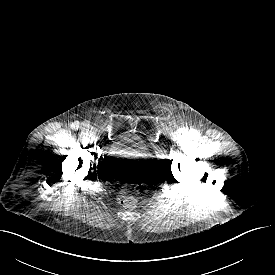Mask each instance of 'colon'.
Segmentation results:
<instances>
[{"mask_svg":"<svg viewBox=\"0 0 275 275\" xmlns=\"http://www.w3.org/2000/svg\"><path fill=\"white\" fill-rule=\"evenodd\" d=\"M138 187L133 183H124L119 190L120 203L126 207H132L137 201Z\"/></svg>","mask_w":275,"mask_h":275,"instance_id":"obj_1","label":"colon"}]
</instances>
